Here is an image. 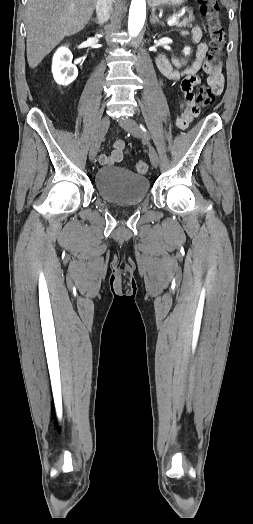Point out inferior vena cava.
Here are the masks:
<instances>
[{
    "mask_svg": "<svg viewBox=\"0 0 253 524\" xmlns=\"http://www.w3.org/2000/svg\"><path fill=\"white\" fill-rule=\"evenodd\" d=\"M113 0H97L96 2V14L98 22L103 24L110 18V12L112 10Z\"/></svg>",
    "mask_w": 253,
    "mask_h": 524,
    "instance_id": "inferior-vena-cava-1",
    "label": "inferior vena cava"
}]
</instances>
